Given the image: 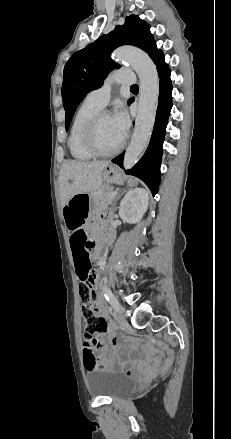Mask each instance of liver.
Instances as JSON below:
<instances>
[{"label": "liver", "mask_w": 231, "mask_h": 439, "mask_svg": "<svg viewBox=\"0 0 231 439\" xmlns=\"http://www.w3.org/2000/svg\"><path fill=\"white\" fill-rule=\"evenodd\" d=\"M108 165L107 161H67L59 175L61 206L75 194L98 190L103 182L102 172Z\"/></svg>", "instance_id": "liver-1"}]
</instances>
